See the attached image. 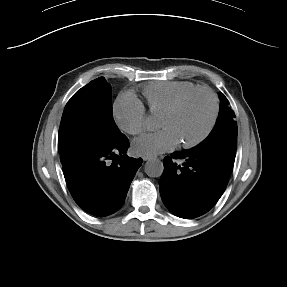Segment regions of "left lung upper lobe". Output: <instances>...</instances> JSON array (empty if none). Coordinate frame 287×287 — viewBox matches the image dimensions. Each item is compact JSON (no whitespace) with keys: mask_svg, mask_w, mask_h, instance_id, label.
Here are the masks:
<instances>
[{"mask_svg":"<svg viewBox=\"0 0 287 287\" xmlns=\"http://www.w3.org/2000/svg\"><path fill=\"white\" fill-rule=\"evenodd\" d=\"M222 101L219 117L209 136L195 150L204 152L209 158L219 163L230 175L237 147V122L224 94L219 93Z\"/></svg>","mask_w":287,"mask_h":287,"instance_id":"left-lung-upper-lobe-1","label":"left lung upper lobe"}]
</instances>
